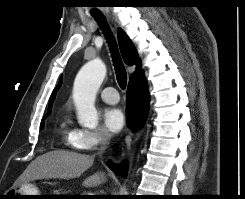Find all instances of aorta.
Instances as JSON below:
<instances>
[{"instance_id": "1", "label": "aorta", "mask_w": 245, "mask_h": 199, "mask_svg": "<svg viewBox=\"0 0 245 199\" xmlns=\"http://www.w3.org/2000/svg\"><path fill=\"white\" fill-rule=\"evenodd\" d=\"M106 72L105 64L100 59H94L86 63L75 78L73 100L82 126L95 128L98 125L95 97Z\"/></svg>"}]
</instances>
